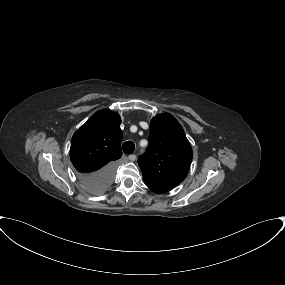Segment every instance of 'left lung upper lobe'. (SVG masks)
Masks as SVG:
<instances>
[{"label": "left lung upper lobe", "instance_id": "left-lung-upper-lobe-1", "mask_svg": "<svg viewBox=\"0 0 285 285\" xmlns=\"http://www.w3.org/2000/svg\"><path fill=\"white\" fill-rule=\"evenodd\" d=\"M149 146L138 165L149 189L168 192L188 174L192 148L182 126L170 114L154 117L150 123Z\"/></svg>", "mask_w": 285, "mask_h": 285}]
</instances>
